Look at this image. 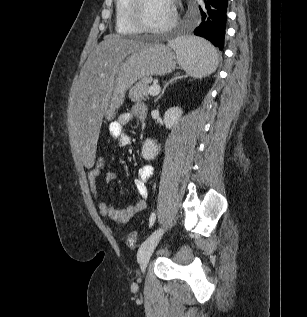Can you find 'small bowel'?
<instances>
[{"label": "small bowel", "instance_id": "1", "mask_svg": "<svg viewBox=\"0 0 307 317\" xmlns=\"http://www.w3.org/2000/svg\"><path fill=\"white\" fill-rule=\"evenodd\" d=\"M146 115L147 110L144 105H134L131 112L122 113L116 121L112 122L109 125V133L111 137L118 141L119 146H128L131 142V138L130 135L124 131V127L127 126L134 117L140 120H144L146 118ZM100 175L101 171L92 169L88 174V181L92 194L98 200V208L102 216L108 217L118 223H125L134 215L145 209L147 197L146 183L153 176V168L150 165L142 166L139 169L138 175L134 181L136 190L140 195V199L123 210L116 209L115 207L110 206L105 201L101 200L98 187V180L100 178ZM115 178L116 174L113 171L106 172L104 176L106 182H111Z\"/></svg>", "mask_w": 307, "mask_h": 317}]
</instances>
